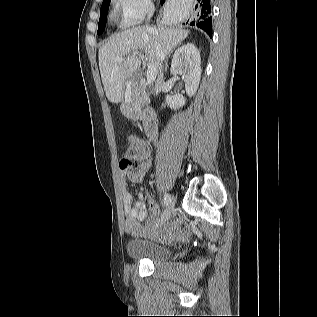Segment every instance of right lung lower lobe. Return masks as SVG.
<instances>
[{
    "label": "right lung lower lobe",
    "instance_id": "obj_1",
    "mask_svg": "<svg viewBox=\"0 0 317 317\" xmlns=\"http://www.w3.org/2000/svg\"><path fill=\"white\" fill-rule=\"evenodd\" d=\"M164 0L161 1V4ZM190 25L203 29L212 37V16L210 0H194V9L192 11V21Z\"/></svg>",
    "mask_w": 317,
    "mask_h": 317
}]
</instances>
